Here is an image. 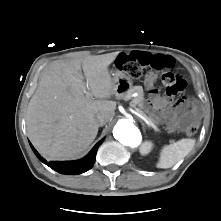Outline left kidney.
<instances>
[{"instance_id": "obj_1", "label": "left kidney", "mask_w": 221, "mask_h": 221, "mask_svg": "<svg viewBox=\"0 0 221 221\" xmlns=\"http://www.w3.org/2000/svg\"><path fill=\"white\" fill-rule=\"evenodd\" d=\"M152 147H153L152 142L145 141L141 147V150H140L141 154L142 155L148 154L151 151Z\"/></svg>"}]
</instances>
